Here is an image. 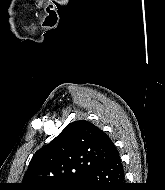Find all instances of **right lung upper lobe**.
<instances>
[{
  "label": "right lung upper lobe",
  "instance_id": "1",
  "mask_svg": "<svg viewBox=\"0 0 165 190\" xmlns=\"http://www.w3.org/2000/svg\"><path fill=\"white\" fill-rule=\"evenodd\" d=\"M117 154L98 127L85 120L73 122L34 154L20 188L53 190L76 183L86 171Z\"/></svg>",
  "mask_w": 165,
  "mask_h": 190
}]
</instances>
